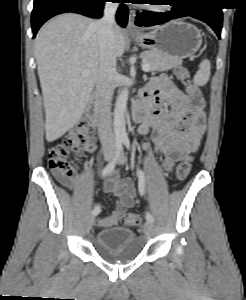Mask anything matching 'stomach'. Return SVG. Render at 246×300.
I'll return each instance as SVG.
<instances>
[{"mask_svg":"<svg viewBox=\"0 0 246 300\" xmlns=\"http://www.w3.org/2000/svg\"><path fill=\"white\" fill-rule=\"evenodd\" d=\"M134 40L141 48L159 52L174 61L194 55L202 45L201 31L179 20L158 26L148 33H140Z\"/></svg>","mask_w":246,"mask_h":300,"instance_id":"obj_1","label":"stomach"}]
</instances>
